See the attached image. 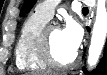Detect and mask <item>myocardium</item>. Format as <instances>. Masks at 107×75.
Listing matches in <instances>:
<instances>
[{"label": "myocardium", "instance_id": "f54148a6", "mask_svg": "<svg viewBox=\"0 0 107 75\" xmlns=\"http://www.w3.org/2000/svg\"><path fill=\"white\" fill-rule=\"evenodd\" d=\"M54 27L55 26L53 25H46L40 33V36L38 39V49H39L40 57L49 68H52L55 70H66V69L72 68L76 65L78 61L77 53H75L73 58L66 63L59 62L54 56L51 42H50V31Z\"/></svg>", "mask_w": 107, "mask_h": 75}]
</instances>
